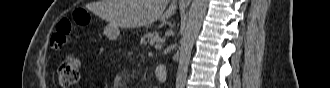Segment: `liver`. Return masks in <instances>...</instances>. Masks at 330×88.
I'll return each instance as SVG.
<instances>
[{
	"label": "liver",
	"instance_id": "6515ba94",
	"mask_svg": "<svg viewBox=\"0 0 330 88\" xmlns=\"http://www.w3.org/2000/svg\"><path fill=\"white\" fill-rule=\"evenodd\" d=\"M101 0L98 3V15L110 25L122 28H136L164 21L177 9V0Z\"/></svg>",
	"mask_w": 330,
	"mask_h": 88
}]
</instances>
